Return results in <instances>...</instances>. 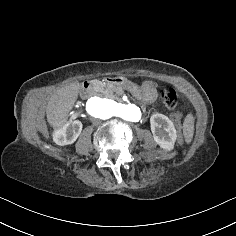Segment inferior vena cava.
I'll list each match as a JSON object with an SVG mask.
<instances>
[{
    "mask_svg": "<svg viewBox=\"0 0 236 236\" xmlns=\"http://www.w3.org/2000/svg\"><path fill=\"white\" fill-rule=\"evenodd\" d=\"M92 124H93L95 127H98V126L101 124V121H100L98 118H95V119L92 121Z\"/></svg>",
    "mask_w": 236,
    "mask_h": 236,
    "instance_id": "602c4592",
    "label": "inferior vena cava"
}]
</instances>
